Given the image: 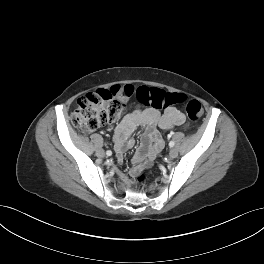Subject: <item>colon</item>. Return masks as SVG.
<instances>
[{
    "label": "colon",
    "mask_w": 264,
    "mask_h": 264,
    "mask_svg": "<svg viewBox=\"0 0 264 264\" xmlns=\"http://www.w3.org/2000/svg\"><path fill=\"white\" fill-rule=\"evenodd\" d=\"M133 96L142 105L157 110L186 102L184 94L167 92L155 87L116 86L109 90H97L82 96L71 115L72 124L82 132H91L112 123L122 115L125 102ZM185 110L189 119L194 122L199 121L203 116L202 105L197 100L187 101ZM146 179V173H141L136 181L143 183Z\"/></svg>",
    "instance_id": "5ec220e1"
}]
</instances>
